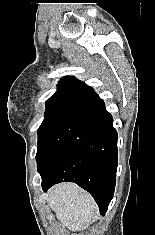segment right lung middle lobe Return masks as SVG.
Wrapping results in <instances>:
<instances>
[{
	"label": "right lung middle lobe",
	"instance_id": "obj_1",
	"mask_svg": "<svg viewBox=\"0 0 155 235\" xmlns=\"http://www.w3.org/2000/svg\"><path fill=\"white\" fill-rule=\"evenodd\" d=\"M91 125L69 115L46 112L38 129V171L46 169L69 142Z\"/></svg>",
	"mask_w": 155,
	"mask_h": 235
}]
</instances>
